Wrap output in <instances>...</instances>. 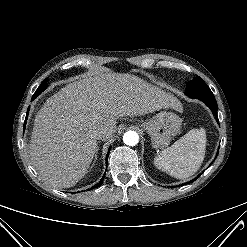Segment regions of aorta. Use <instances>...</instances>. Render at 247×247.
Listing matches in <instances>:
<instances>
[{
	"mask_svg": "<svg viewBox=\"0 0 247 247\" xmlns=\"http://www.w3.org/2000/svg\"><path fill=\"white\" fill-rule=\"evenodd\" d=\"M123 141L126 145L135 146L139 142V135L135 131H127L123 135Z\"/></svg>",
	"mask_w": 247,
	"mask_h": 247,
	"instance_id": "aorta-1",
	"label": "aorta"
}]
</instances>
